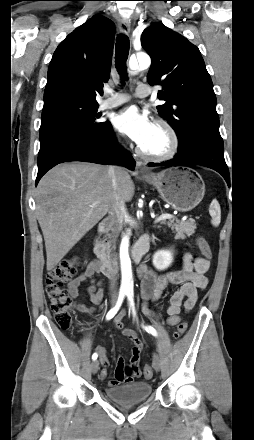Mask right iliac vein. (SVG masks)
<instances>
[{"label":"right iliac vein","instance_id":"1","mask_svg":"<svg viewBox=\"0 0 254 440\" xmlns=\"http://www.w3.org/2000/svg\"><path fill=\"white\" fill-rule=\"evenodd\" d=\"M98 369H99V361L98 360H94L92 362V364H91L92 373L93 374L97 373Z\"/></svg>","mask_w":254,"mask_h":440}]
</instances>
